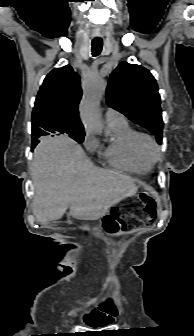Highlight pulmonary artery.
Returning a JSON list of instances; mask_svg holds the SVG:
<instances>
[{
	"mask_svg": "<svg viewBox=\"0 0 194 336\" xmlns=\"http://www.w3.org/2000/svg\"><path fill=\"white\" fill-rule=\"evenodd\" d=\"M105 120L109 126L126 122L124 116L120 112L109 107L105 110Z\"/></svg>",
	"mask_w": 194,
	"mask_h": 336,
	"instance_id": "e3ab8cb5",
	"label": "pulmonary artery"
}]
</instances>
